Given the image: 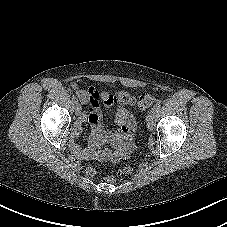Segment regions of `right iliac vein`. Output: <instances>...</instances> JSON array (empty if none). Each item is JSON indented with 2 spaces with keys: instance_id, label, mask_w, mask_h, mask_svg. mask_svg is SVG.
Returning a JSON list of instances; mask_svg holds the SVG:
<instances>
[{
  "instance_id": "1",
  "label": "right iliac vein",
  "mask_w": 227,
  "mask_h": 227,
  "mask_svg": "<svg viewBox=\"0 0 227 227\" xmlns=\"http://www.w3.org/2000/svg\"><path fill=\"white\" fill-rule=\"evenodd\" d=\"M74 108H75L76 115H79L80 111H81V105L77 102V103H75Z\"/></svg>"
}]
</instances>
